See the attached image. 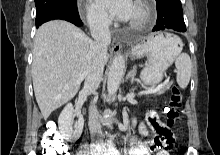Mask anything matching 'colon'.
Returning <instances> with one entry per match:
<instances>
[{"instance_id": "5ec220e1", "label": "colon", "mask_w": 220, "mask_h": 155, "mask_svg": "<svg viewBox=\"0 0 220 155\" xmlns=\"http://www.w3.org/2000/svg\"><path fill=\"white\" fill-rule=\"evenodd\" d=\"M182 106V94L177 86L171 90V96L168 101L166 112V124L155 125V137L149 142L151 152L155 155H170L169 151L174 145V136L170 130L178 119L179 110ZM44 142L41 148H44L43 155H66L64 143L55 133H47L44 136Z\"/></svg>"}]
</instances>
